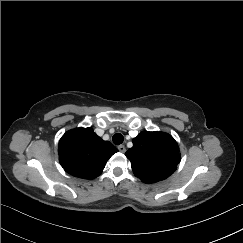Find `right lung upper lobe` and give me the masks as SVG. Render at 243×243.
<instances>
[{"mask_svg": "<svg viewBox=\"0 0 243 243\" xmlns=\"http://www.w3.org/2000/svg\"><path fill=\"white\" fill-rule=\"evenodd\" d=\"M118 150L109 141L102 140L92 128H76L60 139L58 152L64 170L79 178L94 179L106 162Z\"/></svg>", "mask_w": 243, "mask_h": 243, "instance_id": "cb5924a9", "label": "right lung upper lobe"}]
</instances>
